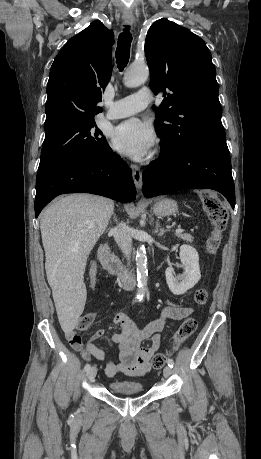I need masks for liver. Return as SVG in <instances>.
Listing matches in <instances>:
<instances>
[{"label": "liver", "mask_w": 261, "mask_h": 459, "mask_svg": "<svg viewBox=\"0 0 261 459\" xmlns=\"http://www.w3.org/2000/svg\"><path fill=\"white\" fill-rule=\"evenodd\" d=\"M113 211L114 202L108 198L71 194L60 197L41 215L47 280L65 333L78 325L86 302V262Z\"/></svg>", "instance_id": "1"}]
</instances>
